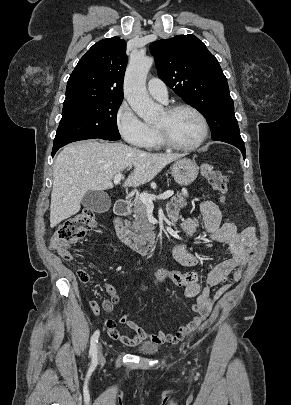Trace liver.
<instances>
[{
  "label": "liver",
  "mask_w": 291,
  "mask_h": 405,
  "mask_svg": "<svg viewBox=\"0 0 291 405\" xmlns=\"http://www.w3.org/2000/svg\"><path fill=\"white\" fill-rule=\"evenodd\" d=\"M180 154H153L122 143L96 140L73 143L58 154L53 168L50 226L77 214L89 191L113 187V177L126 168H134L123 186L137 187L151 181Z\"/></svg>",
  "instance_id": "liver-1"
}]
</instances>
